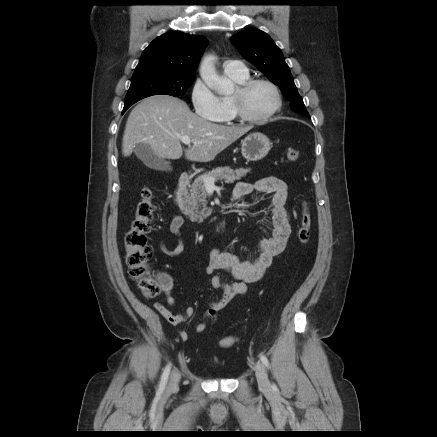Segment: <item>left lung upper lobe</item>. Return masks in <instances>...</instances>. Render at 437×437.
Listing matches in <instances>:
<instances>
[{"label":"left lung upper lobe","instance_id":"obj_1","mask_svg":"<svg viewBox=\"0 0 437 437\" xmlns=\"http://www.w3.org/2000/svg\"><path fill=\"white\" fill-rule=\"evenodd\" d=\"M230 40L243 57L259 68L271 82L279 86L293 111L310 118L283 54L269 35L251 28L239 32Z\"/></svg>","mask_w":437,"mask_h":437}]
</instances>
